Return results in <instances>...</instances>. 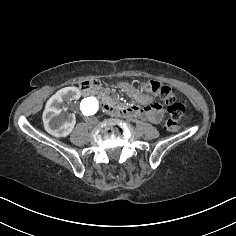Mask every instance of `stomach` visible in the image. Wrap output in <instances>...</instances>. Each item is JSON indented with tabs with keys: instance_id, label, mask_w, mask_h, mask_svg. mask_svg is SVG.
<instances>
[{
	"instance_id": "1",
	"label": "stomach",
	"mask_w": 236,
	"mask_h": 236,
	"mask_svg": "<svg viewBox=\"0 0 236 236\" xmlns=\"http://www.w3.org/2000/svg\"><path fill=\"white\" fill-rule=\"evenodd\" d=\"M118 91L137 104L150 105L153 102V93L151 91H141L128 81H121L118 84Z\"/></svg>"
}]
</instances>
